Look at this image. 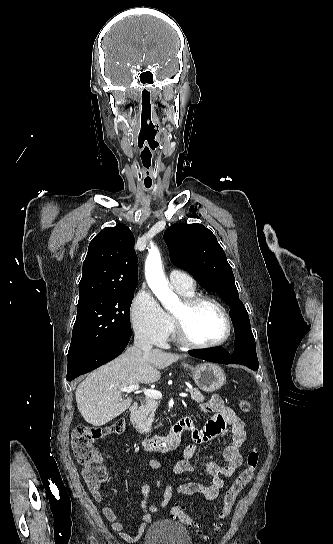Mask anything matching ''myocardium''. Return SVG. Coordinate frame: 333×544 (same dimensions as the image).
Wrapping results in <instances>:
<instances>
[{
	"label": "myocardium",
	"instance_id": "1",
	"mask_svg": "<svg viewBox=\"0 0 333 544\" xmlns=\"http://www.w3.org/2000/svg\"><path fill=\"white\" fill-rule=\"evenodd\" d=\"M204 303H212L220 309L225 319L226 332L224 336L218 341H215L212 343L196 342L190 336L183 317L180 315L173 314V322H174L177 339L179 340L180 343H182L183 345L187 347L194 348V349H211V348L219 347L225 344L231 337L232 328H233L232 319L229 314V311L227 310L226 306L220 299L210 295H193V296L184 298L181 304H182V308L184 312L187 314H190V313H193L200 305Z\"/></svg>",
	"mask_w": 333,
	"mask_h": 544
}]
</instances>
